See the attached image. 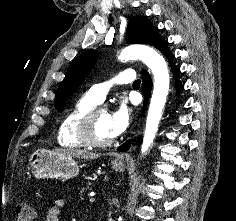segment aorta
<instances>
[{
  "instance_id": "762f6f07",
  "label": "aorta",
  "mask_w": 236,
  "mask_h": 221,
  "mask_svg": "<svg viewBox=\"0 0 236 221\" xmlns=\"http://www.w3.org/2000/svg\"><path fill=\"white\" fill-rule=\"evenodd\" d=\"M124 60L140 59L152 71L154 76V89L146 120L141 153L145 154L153 143L158 131L162 110L166 103L169 90V72L164 58L153 48L146 45H131L120 54Z\"/></svg>"
}]
</instances>
